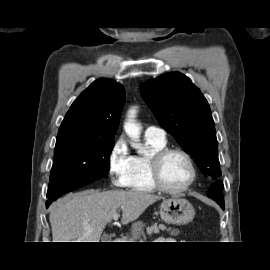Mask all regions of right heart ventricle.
Here are the masks:
<instances>
[{
	"mask_svg": "<svg viewBox=\"0 0 270 270\" xmlns=\"http://www.w3.org/2000/svg\"><path fill=\"white\" fill-rule=\"evenodd\" d=\"M146 142L149 153L132 157V172L128 186L132 191L140 193H152L156 190L150 180L148 162L152 153L166 147V140L160 141L146 137Z\"/></svg>",
	"mask_w": 270,
	"mask_h": 270,
	"instance_id": "obj_1",
	"label": "right heart ventricle"
}]
</instances>
